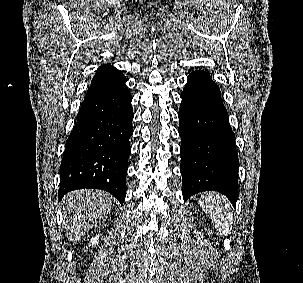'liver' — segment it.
<instances>
[{"label":"liver","instance_id":"liver-1","mask_svg":"<svg viewBox=\"0 0 303 283\" xmlns=\"http://www.w3.org/2000/svg\"><path fill=\"white\" fill-rule=\"evenodd\" d=\"M112 201L101 190H78L62 200L63 227L70 242L79 240L111 211Z\"/></svg>","mask_w":303,"mask_h":283}]
</instances>
